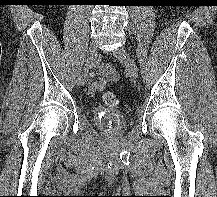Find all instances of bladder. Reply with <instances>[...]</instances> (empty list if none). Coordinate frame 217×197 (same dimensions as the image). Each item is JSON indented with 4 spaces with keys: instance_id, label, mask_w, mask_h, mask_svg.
I'll list each match as a JSON object with an SVG mask.
<instances>
[{
    "instance_id": "31cf9c89",
    "label": "bladder",
    "mask_w": 217,
    "mask_h": 197,
    "mask_svg": "<svg viewBox=\"0 0 217 197\" xmlns=\"http://www.w3.org/2000/svg\"><path fill=\"white\" fill-rule=\"evenodd\" d=\"M94 120L100 124V126L112 133L120 132L124 129L126 119L124 114L116 109H110L106 107H96L93 110Z\"/></svg>"
}]
</instances>
